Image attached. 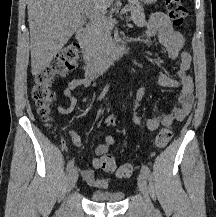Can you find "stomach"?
Segmentation results:
<instances>
[{
  "label": "stomach",
  "mask_w": 216,
  "mask_h": 217,
  "mask_svg": "<svg viewBox=\"0 0 216 217\" xmlns=\"http://www.w3.org/2000/svg\"><path fill=\"white\" fill-rule=\"evenodd\" d=\"M140 1L144 4L151 5V4H155L158 0H140Z\"/></svg>",
  "instance_id": "1"
}]
</instances>
